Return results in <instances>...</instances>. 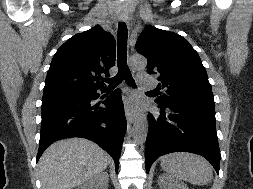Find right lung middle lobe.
<instances>
[{
    "label": "right lung middle lobe",
    "instance_id": "dd1d6c3e",
    "mask_svg": "<svg viewBox=\"0 0 253 189\" xmlns=\"http://www.w3.org/2000/svg\"><path fill=\"white\" fill-rule=\"evenodd\" d=\"M63 93H79V91H57V92L44 93L43 96L50 94H63Z\"/></svg>",
    "mask_w": 253,
    "mask_h": 189
}]
</instances>
